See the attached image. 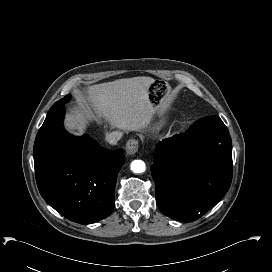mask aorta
Segmentation results:
<instances>
[{
	"label": "aorta",
	"instance_id": "aorta-1",
	"mask_svg": "<svg viewBox=\"0 0 272 272\" xmlns=\"http://www.w3.org/2000/svg\"><path fill=\"white\" fill-rule=\"evenodd\" d=\"M130 167L134 173H143L146 169L145 163L142 160L132 161Z\"/></svg>",
	"mask_w": 272,
	"mask_h": 272
}]
</instances>
